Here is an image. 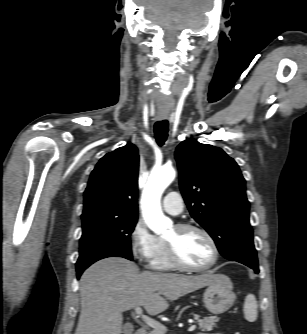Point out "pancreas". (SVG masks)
Segmentation results:
<instances>
[{
    "mask_svg": "<svg viewBox=\"0 0 307 334\" xmlns=\"http://www.w3.org/2000/svg\"><path fill=\"white\" fill-rule=\"evenodd\" d=\"M195 319L198 322L199 329L202 331H211L213 327H215L216 323L219 321V318L217 316H209L204 317L203 319H200L199 316H195ZM149 334H165L164 332L152 330Z\"/></svg>",
    "mask_w": 307,
    "mask_h": 334,
    "instance_id": "1",
    "label": "pancreas"
}]
</instances>
